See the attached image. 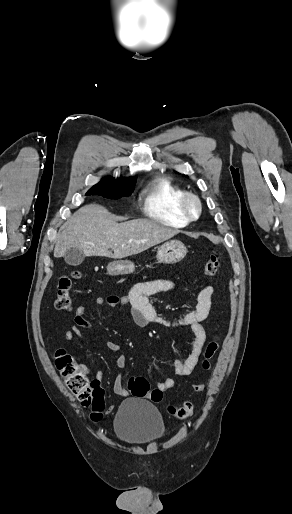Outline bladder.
Here are the masks:
<instances>
[{"mask_svg":"<svg viewBox=\"0 0 292 514\" xmlns=\"http://www.w3.org/2000/svg\"><path fill=\"white\" fill-rule=\"evenodd\" d=\"M114 432L126 444L142 445L162 438L166 426L161 413L153 404L130 398L121 404L116 413Z\"/></svg>","mask_w":292,"mask_h":514,"instance_id":"obj_1","label":"bladder"}]
</instances>
